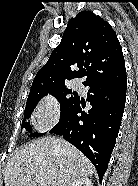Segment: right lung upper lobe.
<instances>
[{"label": "right lung upper lobe", "mask_w": 138, "mask_h": 186, "mask_svg": "<svg viewBox=\"0 0 138 186\" xmlns=\"http://www.w3.org/2000/svg\"><path fill=\"white\" fill-rule=\"evenodd\" d=\"M84 76V84L126 77L122 48L115 31L90 11H81L70 19L61 43L36 74L30 93L63 87L68 80Z\"/></svg>", "instance_id": "obj_1"}]
</instances>
